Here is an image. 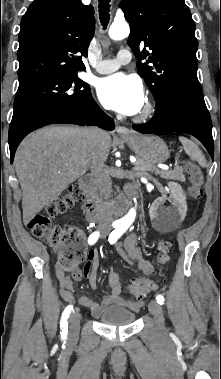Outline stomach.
<instances>
[{
  "label": "stomach",
  "instance_id": "1",
  "mask_svg": "<svg viewBox=\"0 0 221 379\" xmlns=\"http://www.w3.org/2000/svg\"><path fill=\"white\" fill-rule=\"evenodd\" d=\"M138 159L150 165L160 164L169 158L167 144L158 136L133 133L123 138Z\"/></svg>",
  "mask_w": 221,
  "mask_h": 379
}]
</instances>
